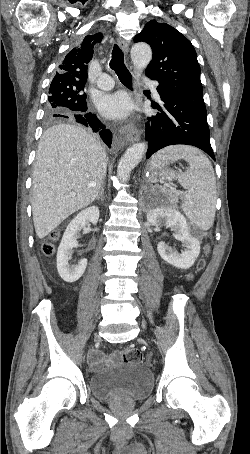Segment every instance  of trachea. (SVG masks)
Wrapping results in <instances>:
<instances>
[{
  "instance_id": "1",
  "label": "trachea",
  "mask_w": 250,
  "mask_h": 454,
  "mask_svg": "<svg viewBox=\"0 0 250 454\" xmlns=\"http://www.w3.org/2000/svg\"><path fill=\"white\" fill-rule=\"evenodd\" d=\"M110 68L115 71L120 81L127 86L132 85V77L124 64V56L120 47L115 44L112 50Z\"/></svg>"
}]
</instances>
